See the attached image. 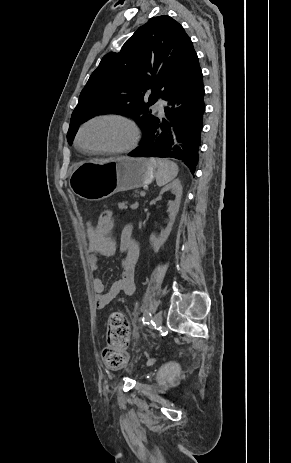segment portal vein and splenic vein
<instances>
[{
  "label": "portal vein and splenic vein",
  "instance_id": "obj_1",
  "mask_svg": "<svg viewBox=\"0 0 291 463\" xmlns=\"http://www.w3.org/2000/svg\"><path fill=\"white\" fill-rule=\"evenodd\" d=\"M140 195H141L142 197H144V196H145V192L142 191V192L140 193Z\"/></svg>",
  "mask_w": 291,
  "mask_h": 463
}]
</instances>
